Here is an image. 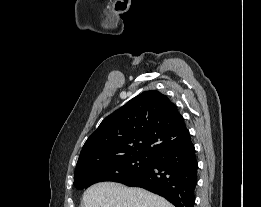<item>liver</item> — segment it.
Returning <instances> with one entry per match:
<instances>
[{"mask_svg": "<svg viewBox=\"0 0 261 207\" xmlns=\"http://www.w3.org/2000/svg\"><path fill=\"white\" fill-rule=\"evenodd\" d=\"M84 207H174L163 197L142 188L115 182H100L83 194Z\"/></svg>", "mask_w": 261, "mask_h": 207, "instance_id": "6515ba94", "label": "liver"}]
</instances>
